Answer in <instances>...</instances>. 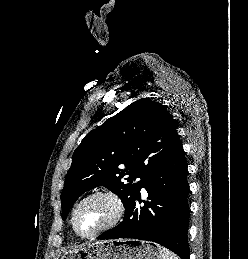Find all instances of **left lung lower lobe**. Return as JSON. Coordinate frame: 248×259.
I'll return each mask as SVG.
<instances>
[{"instance_id": "left-lung-lower-lobe-1", "label": "left lung lower lobe", "mask_w": 248, "mask_h": 259, "mask_svg": "<svg viewBox=\"0 0 248 259\" xmlns=\"http://www.w3.org/2000/svg\"><path fill=\"white\" fill-rule=\"evenodd\" d=\"M144 187L151 201H142L139 192L127 208L123 221L97 238L152 241L182 259H189V185L182 145L156 167Z\"/></svg>"}]
</instances>
